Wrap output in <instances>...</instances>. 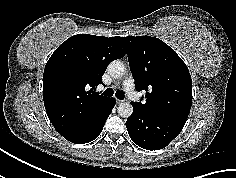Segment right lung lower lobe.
<instances>
[{
    "label": "right lung lower lobe",
    "mask_w": 236,
    "mask_h": 178,
    "mask_svg": "<svg viewBox=\"0 0 236 178\" xmlns=\"http://www.w3.org/2000/svg\"><path fill=\"white\" fill-rule=\"evenodd\" d=\"M115 105V99L112 98L109 106L107 107L105 113L100 118V120L91 126L90 128L86 129L85 131L65 136L64 138L70 142L77 143V144H84L93 141L96 139L100 133L102 132L103 126L105 124L106 119L111 114V111Z\"/></svg>",
    "instance_id": "obj_1"
}]
</instances>
